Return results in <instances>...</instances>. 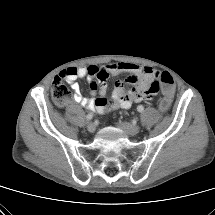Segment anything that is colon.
Wrapping results in <instances>:
<instances>
[{
  "label": "colon",
  "mask_w": 215,
  "mask_h": 215,
  "mask_svg": "<svg viewBox=\"0 0 215 215\" xmlns=\"http://www.w3.org/2000/svg\"><path fill=\"white\" fill-rule=\"evenodd\" d=\"M155 76L157 81L153 82L146 94L156 93L159 89V86H161L165 96L161 100L159 108L162 112H166L169 110L172 103L174 80L168 72L156 73ZM51 93L52 98L57 105L62 106L67 102L70 92L67 86L64 84L62 77L57 76L54 78L52 82Z\"/></svg>",
  "instance_id": "5ec220e1"
}]
</instances>
